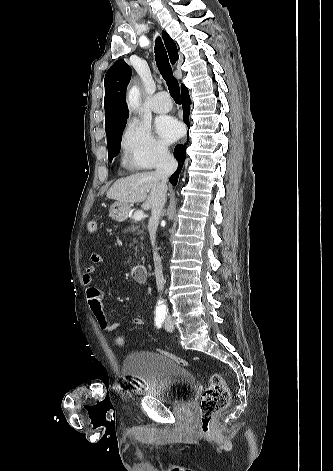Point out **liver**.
<instances>
[{
	"instance_id": "6515ba94",
	"label": "liver",
	"mask_w": 333,
	"mask_h": 471,
	"mask_svg": "<svg viewBox=\"0 0 333 471\" xmlns=\"http://www.w3.org/2000/svg\"><path fill=\"white\" fill-rule=\"evenodd\" d=\"M160 193V179L156 176V172L148 171L118 179L107 191L106 196L123 204L144 202L142 208L149 210Z\"/></svg>"
}]
</instances>
